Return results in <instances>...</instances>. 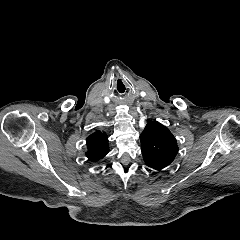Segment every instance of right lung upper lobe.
Segmentation results:
<instances>
[{"mask_svg":"<svg viewBox=\"0 0 240 240\" xmlns=\"http://www.w3.org/2000/svg\"><path fill=\"white\" fill-rule=\"evenodd\" d=\"M86 156L92 162L102 159L109 152L108 137L103 132H96L87 137Z\"/></svg>","mask_w":240,"mask_h":240,"instance_id":"obj_1","label":"right lung upper lobe"}]
</instances>
